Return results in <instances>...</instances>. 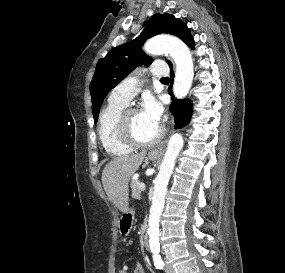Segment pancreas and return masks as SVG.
<instances>
[{
	"instance_id": "obj_1",
	"label": "pancreas",
	"mask_w": 285,
	"mask_h": 273,
	"mask_svg": "<svg viewBox=\"0 0 285 273\" xmlns=\"http://www.w3.org/2000/svg\"><path fill=\"white\" fill-rule=\"evenodd\" d=\"M140 180H132L131 181V189H132V197L134 199H140V193H141V190H140Z\"/></svg>"
}]
</instances>
